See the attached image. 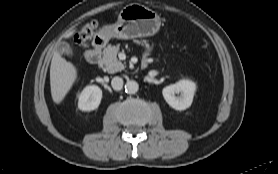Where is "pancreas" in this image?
<instances>
[{"instance_id": "1", "label": "pancreas", "mask_w": 278, "mask_h": 174, "mask_svg": "<svg viewBox=\"0 0 278 174\" xmlns=\"http://www.w3.org/2000/svg\"><path fill=\"white\" fill-rule=\"evenodd\" d=\"M136 44H142L143 46H147L148 43L146 40L143 41H134ZM119 45L111 46L108 45L103 51L102 65L105 71L108 73H116L124 70V64L117 59V54L119 52Z\"/></svg>"}]
</instances>
